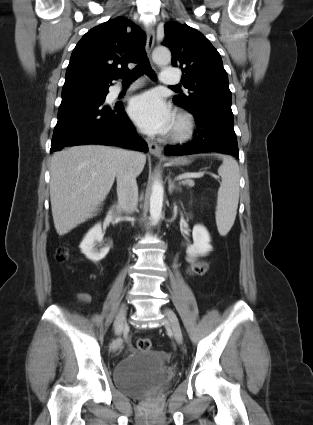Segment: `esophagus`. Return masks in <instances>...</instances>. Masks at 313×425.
<instances>
[{"mask_svg":"<svg viewBox=\"0 0 313 425\" xmlns=\"http://www.w3.org/2000/svg\"><path fill=\"white\" fill-rule=\"evenodd\" d=\"M146 35H147L146 51H147V54L150 56L151 51H152L153 46H154V42H155V32H154V29L152 28V26H150V25L146 26ZM146 142L148 144L149 152L152 155L157 156V157L162 156V147H160L156 142H154L150 139H146Z\"/></svg>","mask_w":313,"mask_h":425,"instance_id":"esophagus-1","label":"esophagus"}]
</instances>
